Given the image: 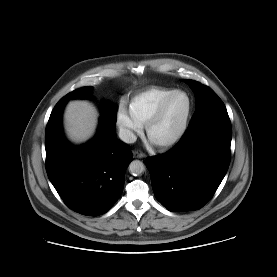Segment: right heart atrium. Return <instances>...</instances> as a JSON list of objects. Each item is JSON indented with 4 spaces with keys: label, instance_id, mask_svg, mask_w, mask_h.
Here are the masks:
<instances>
[{
    "label": "right heart atrium",
    "instance_id": "obj_1",
    "mask_svg": "<svg viewBox=\"0 0 277 277\" xmlns=\"http://www.w3.org/2000/svg\"><path fill=\"white\" fill-rule=\"evenodd\" d=\"M116 124L122 138L127 142H132L136 135L142 131V125L132 117L123 103L117 108Z\"/></svg>",
    "mask_w": 277,
    "mask_h": 277
}]
</instances>
